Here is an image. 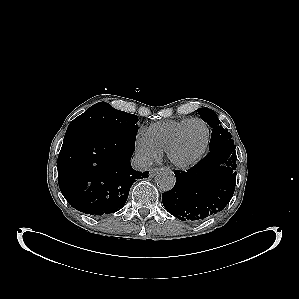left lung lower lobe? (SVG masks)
<instances>
[{"mask_svg": "<svg viewBox=\"0 0 299 299\" xmlns=\"http://www.w3.org/2000/svg\"><path fill=\"white\" fill-rule=\"evenodd\" d=\"M234 144H222L190 170L176 171V183L162 194L165 209L182 221L201 220L225 208L236 184Z\"/></svg>", "mask_w": 299, "mask_h": 299, "instance_id": "1", "label": "left lung lower lobe"}]
</instances>
